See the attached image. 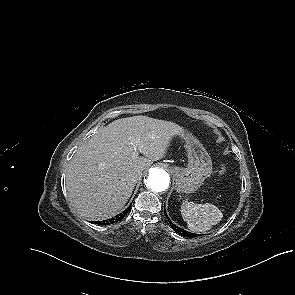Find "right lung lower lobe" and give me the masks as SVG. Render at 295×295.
<instances>
[{
  "instance_id": "right-lung-lower-lobe-1",
  "label": "right lung lower lobe",
  "mask_w": 295,
  "mask_h": 295,
  "mask_svg": "<svg viewBox=\"0 0 295 295\" xmlns=\"http://www.w3.org/2000/svg\"><path fill=\"white\" fill-rule=\"evenodd\" d=\"M131 205L122 213H120L119 215H117L115 218H111L109 220H104V221H95L93 222L94 224H112L114 222L120 221L121 219L124 218V216L128 213V211L130 210Z\"/></svg>"
}]
</instances>
